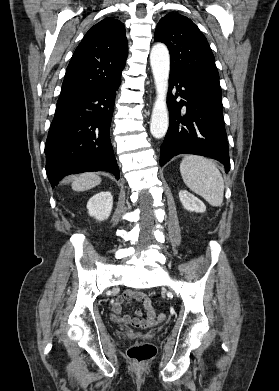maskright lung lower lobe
Listing matches in <instances>:
<instances>
[{
	"mask_svg": "<svg viewBox=\"0 0 279 391\" xmlns=\"http://www.w3.org/2000/svg\"><path fill=\"white\" fill-rule=\"evenodd\" d=\"M121 79L57 101L45 144L46 173L55 187L66 175L108 171L120 178L110 141L116 91Z\"/></svg>",
	"mask_w": 279,
	"mask_h": 391,
	"instance_id": "98d812e1",
	"label": "right lung lower lobe"
}]
</instances>
